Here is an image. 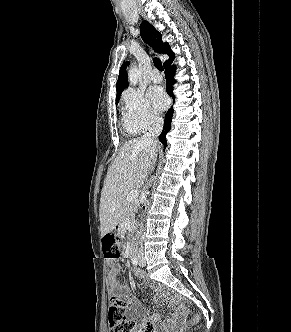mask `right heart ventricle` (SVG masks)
I'll use <instances>...</instances> for the list:
<instances>
[{"label":"right heart ventricle","mask_w":291,"mask_h":332,"mask_svg":"<svg viewBox=\"0 0 291 332\" xmlns=\"http://www.w3.org/2000/svg\"><path fill=\"white\" fill-rule=\"evenodd\" d=\"M126 129H127V131H128L129 133H131V134L135 133L134 131H132L131 129H129V128H127V127H126Z\"/></svg>","instance_id":"e07e8e85"}]
</instances>
